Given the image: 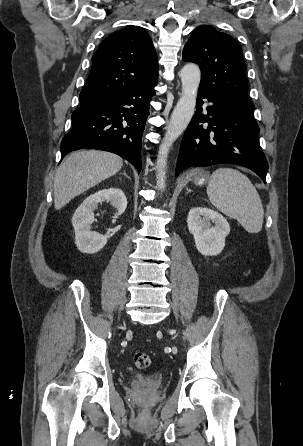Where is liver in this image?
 I'll return each instance as SVG.
<instances>
[{"label": "liver", "instance_id": "6515ba94", "mask_svg": "<svg viewBox=\"0 0 303 446\" xmlns=\"http://www.w3.org/2000/svg\"><path fill=\"white\" fill-rule=\"evenodd\" d=\"M122 165V158L110 152L84 150L71 153L55 174V209L60 210L74 197L113 176Z\"/></svg>", "mask_w": 303, "mask_h": 446}]
</instances>
